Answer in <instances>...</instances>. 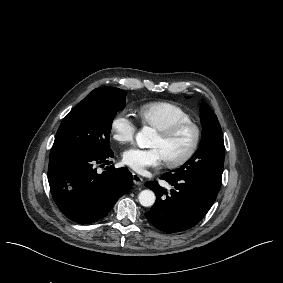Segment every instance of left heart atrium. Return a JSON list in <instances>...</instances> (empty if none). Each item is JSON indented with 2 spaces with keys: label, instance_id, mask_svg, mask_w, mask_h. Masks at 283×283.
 Instances as JSON below:
<instances>
[{
  "label": "left heart atrium",
  "instance_id": "1",
  "mask_svg": "<svg viewBox=\"0 0 283 283\" xmlns=\"http://www.w3.org/2000/svg\"><path fill=\"white\" fill-rule=\"evenodd\" d=\"M122 158L128 166L137 172H144L151 167H159L164 161L161 150L158 148H129L123 152Z\"/></svg>",
  "mask_w": 283,
  "mask_h": 283
}]
</instances>
